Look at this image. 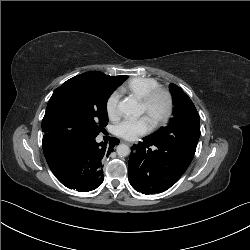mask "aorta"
Instances as JSON below:
<instances>
[{
    "label": "aorta",
    "mask_w": 250,
    "mask_h": 250,
    "mask_svg": "<svg viewBox=\"0 0 250 250\" xmlns=\"http://www.w3.org/2000/svg\"><path fill=\"white\" fill-rule=\"evenodd\" d=\"M118 109L126 115L140 116L142 114L140 105L133 99L123 100L118 104ZM116 151L120 157H126L130 154V148L125 144H119Z\"/></svg>",
    "instance_id": "1"
}]
</instances>
